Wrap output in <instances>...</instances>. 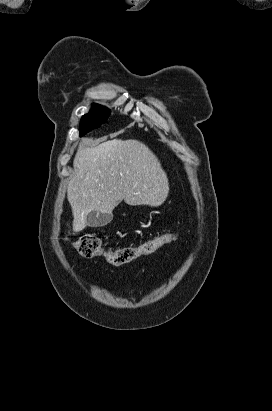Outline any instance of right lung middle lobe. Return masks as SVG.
Wrapping results in <instances>:
<instances>
[{
  "label": "right lung middle lobe",
  "instance_id": "1",
  "mask_svg": "<svg viewBox=\"0 0 272 411\" xmlns=\"http://www.w3.org/2000/svg\"><path fill=\"white\" fill-rule=\"evenodd\" d=\"M110 115V110L94 104L92 110L89 114H86L82 117L80 122V136L85 135L92 129L98 128L103 124L108 116Z\"/></svg>",
  "mask_w": 272,
  "mask_h": 411
}]
</instances>
